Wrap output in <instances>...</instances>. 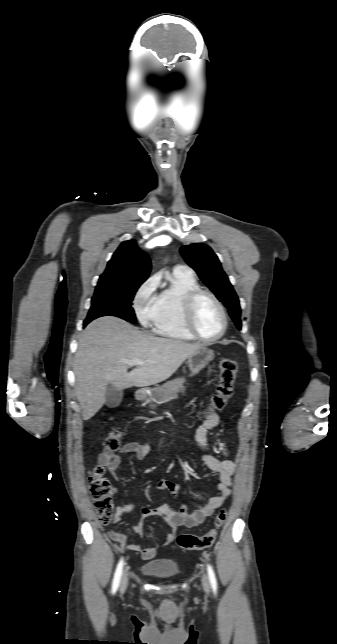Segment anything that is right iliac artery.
I'll list each match as a JSON object with an SVG mask.
<instances>
[{
    "label": "right iliac artery",
    "instance_id": "right-iliac-artery-1",
    "mask_svg": "<svg viewBox=\"0 0 337 644\" xmlns=\"http://www.w3.org/2000/svg\"><path fill=\"white\" fill-rule=\"evenodd\" d=\"M122 570H123V559L120 560V562L117 565L115 574H114V579H113V584H112V593H115L119 587L121 575H122Z\"/></svg>",
    "mask_w": 337,
    "mask_h": 644
}]
</instances>
